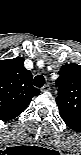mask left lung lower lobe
I'll return each instance as SVG.
<instances>
[{
  "label": "left lung lower lobe",
  "instance_id": "0a47b994",
  "mask_svg": "<svg viewBox=\"0 0 81 155\" xmlns=\"http://www.w3.org/2000/svg\"><path fill=\"white\" fill-rule=\"evenodd\" d=\"M62 119L69 128H71L75 131H81V122L80 121L66 119V118H62Z\"/></svg>",
  "mask_w": 81,
  "mask_h": 155
}]
</instances>
